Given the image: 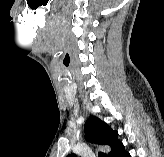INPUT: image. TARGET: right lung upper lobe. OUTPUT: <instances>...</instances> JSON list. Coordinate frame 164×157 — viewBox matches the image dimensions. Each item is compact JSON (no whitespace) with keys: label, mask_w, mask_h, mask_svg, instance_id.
<instances>
[{"label":"right lung upper lobe","mask_w":164,"mask_h":157,"mask_svg":"<svg viewBox=\"0 0 164 157\" xmlns=\"http://www.w3.org/2000/svg\"><path fill=\"white\" fill-rule=\"evenodd\" d=\"M84 130L86 138L90 142L111 147V152L108 153V157H112L115 150L121 144L118 139V132L113 131L109 125L98 117L90 116L85 123ZM67 157H76V155L70 154Z\"/></svg>","instance_id":"cb5924a9"}]
</instances>
